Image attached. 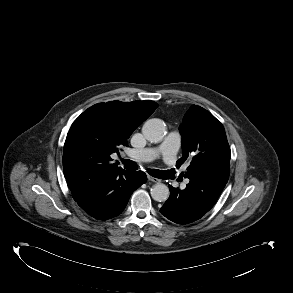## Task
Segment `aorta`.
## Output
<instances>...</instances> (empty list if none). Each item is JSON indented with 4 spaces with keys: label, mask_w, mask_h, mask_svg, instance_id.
I'll return each instance as SVG.
<instances>
[{
    "label": "aorta",
    "mask_w": 293,
    "mask_h": 293,
    "mask_svg": "<svg viewBox=\"0 0 293 293\" xmlns=\"http://www.w3.org/2000/svg\"><path fill=\"white\" fill-rule=\"evenodd\" d=\"M145 138L151 142H160L166 134V124L161 119L153 118L146 121L142 128ZM168 186L158 183L151 188V196L157 202H164L169 198Z\"/></svg>",
    "instance_id": "1"
}]
</instances>
